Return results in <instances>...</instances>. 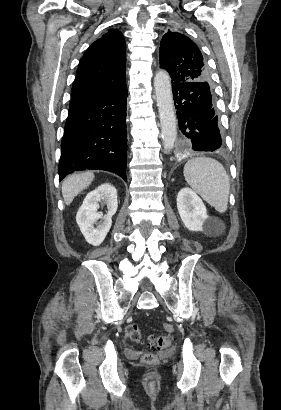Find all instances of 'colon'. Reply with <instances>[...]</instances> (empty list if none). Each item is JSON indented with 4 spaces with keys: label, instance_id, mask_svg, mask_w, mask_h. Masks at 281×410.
I'll list each match as a JSON object with an SVG mask.
<instances>
[{
    "label": "colon",
    "instance_id": "obj_1",
    "mask_svg": "<svg viewBox=\"0 0 281 410\" xmlns=\"http://www.w3.org/2000/svg\"><path fill=\"white\" fill-rule=\"evenodd\" d=\"M163 329L167 334L151 337L148 340V344L154 350H162L169 347L173 343V337L171 336V334L174 331V326L170 323H164ZM125 337L134 343H140L143 341L141 329L136 324H130L126 326ZM142 361L145 364H153L157 361V356L154 352H147L143 355Z\"/></svg>",
    "mask_w": 281,
    "mask_h": 410
}]
</instances>
